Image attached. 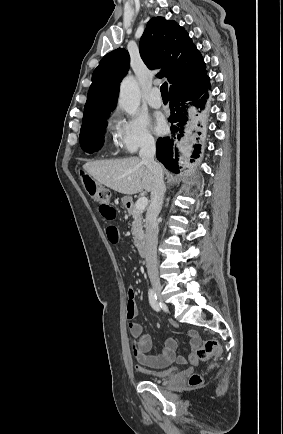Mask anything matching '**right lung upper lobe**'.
<instances>
[{"label":"right lung upper lobe","instance_id":"obj_1","mask_svg":"<svg viewBox=\"0 0 283 434\" xmlns=\"http://www.w3.org/2000/svg\"><path fill=\"white\" fill-rule=\"evenodd\" d=\"M140 55L156 76L166 77L173 89L194 87L205 79L206 64L185 29L163 17L149 20L140 40ZM130 57L118 48L106 54L94 70L84 108L82 127L96 123L115 108L119 85L127 74Z\"/></svg>","mask_w":283,"mask_h":434}]
</instances>
